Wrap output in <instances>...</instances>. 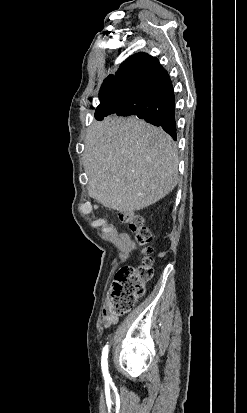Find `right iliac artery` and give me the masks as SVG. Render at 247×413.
<instances>
[{
    "instance_id": "1",
    "label": "right iliac artery",
    "mask_w": 247,
    "mask_h": 413,
    "mask_svg": "<svg viewBox=\"0 0 247 413\" xmlns=\"http://www.w3.org/2000/svg\"><path fill=\"white\" fill-rule=\"evenodd\" d=\"M107 358H108V345H105V347L103 348L102 357H101V367H102L103 376L105 378L109 376Z\"/></svg>"
}]
</instances>
